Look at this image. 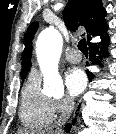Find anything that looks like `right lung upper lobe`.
<instances>
[{
    "mask_svg": "<svg viewBox=\"0 0 116 134\" xmlns=\"http://www.w3.org/2000/svg\"><path fill=\"white\" fill-rule=\"evenodd\" d=\"M106 11L101 0H69L63 11V19L69 30H77L84 26L88 35H102L107 31L108 25L105 20ZM38 24L32 23L25 34V49L22 55L21 75L26 76L31 66L32 39Z\"/></svg>",
    "mask_w": 116,
    "mask_h": 134,
    "instance_id": "obj_1",
    "label": "right lung upper lobe"
}]
</instances>
